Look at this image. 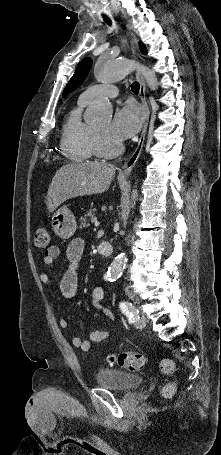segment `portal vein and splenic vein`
I'll list each match as a JSON object with an SVG mask.
<instances>
[{"label":"portal vein and splenic vein","instance_id":"obj_1","mask_svg":"<svg viewBox=\"0 0 221 455\" xmlns=\"http://www.w3.org/2000/svg\"><path fill=\"white\" fill-rule=\"evenodd\" d=\"M94 225H95L96 227H98V226L100 225V223H99L97 220H95Z\"/></svg>","mask_w":221,"mask_h":455}]
</instances>
